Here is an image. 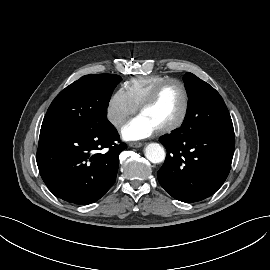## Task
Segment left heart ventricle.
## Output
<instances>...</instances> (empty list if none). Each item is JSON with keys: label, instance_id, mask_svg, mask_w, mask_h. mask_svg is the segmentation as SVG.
Returning <instances> with one entry per match:
<instances>
[{"label": "left heart ventricle", "instance_id": "obj_1", "mask_svg": "<svg viewBox=\"0 0 270 270\" xmlns=\"http://www.w3.org/2000/svg\"><path fill=\"white\" fill-rule=\"evenodd\" d=\"M183 100L181 87L177 84H169L161 91L156 101L141 114L159 129L179 118Z\"/></svg>", "mask_w": 270, "mask_h": 270}]
</instances>
